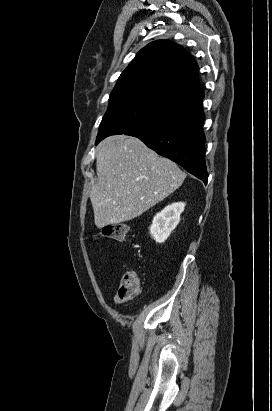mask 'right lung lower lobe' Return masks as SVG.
Returning a JSON list of instances; mask_svg holds the SVG:
<instances>
[{"label":"right lung lower lobe","instance_id":"1","mask_svg":"<svg viewBox=\"0 0 272 411\" xmlns=\"http://www.w3.org/2000/svg\"><path fill=\"white\" fill-rule=\"evenodd\" d=\"M204 119L200 99L126 135L141 139L149 148L178 163L206 184ZM107 136L97 137V143Z\"/></svg>","mask_w":272,"mask_h":411}]
</instances>
